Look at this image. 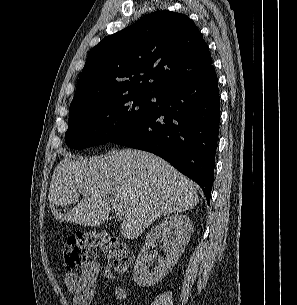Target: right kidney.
Masks as SVG:
<instances>
[{
  "label": "right kidney",
  "instance_id": "ca27d5eb",
  "mask_svg": "<svg viewBox=\"0 0 297 305\" xmlns=\"http://www.w3.org/2000/svg\"><path fill=\"white\" fill-rule=\"evenodd\" d=\"M193 224L189 217L183 214L167 216L157 226L153 227L146 236V242L141 249L133 269V280L140 287H149L159 282L178 262L191 237ZM164 240L166 255L158 256L157 265L151 271L148 264L153 257L149 249L156 241Z\"/></svg>",
  "mask_w": 297,
  "mask_h": 305
}]
</instances>
